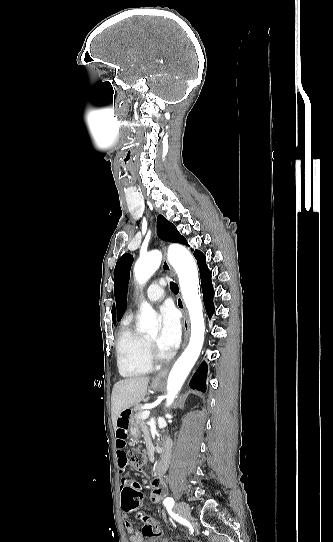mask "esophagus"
I'll list each match as a JSON object with an SVG mask.
<instances>
[{"instance_id": "1", "label": "esophagus", "mask_w": 333, "mask_h": 542, "mask_svg": "<svg viewBox=\"0 0 333 542\" xmlns=\"http://www.w3.org/2000/svg\"><path fill=\"white\" fill-rule=\"evenodd\" d=\"M163 252H164V259H163L162 268L164 270L172 272V269H171V267L169 265V262L167 260L166 248L164 246H163ZM177 307L183 313L184 340H183L182 348H184L187 341H188V337H189V333H190V322H189L188 313H187V311L185 309L184 302H183V299H182L181 295H179L177 297ZM168 372H169L168 367L162 368L158 372V374L154 377V379L152 380V383H157V382H160L161 380H163L167 376Z\"/></svg>"}]
</instances>
